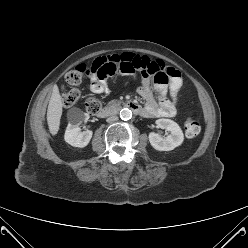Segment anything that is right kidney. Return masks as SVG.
I'll return each instance as SVG.
<instances>
[{
    "label": "right kidney",
    "instance_id": "obj_1",
    "mask_svg": "<svg viewBox=\"0 0 248 248\" xmlns=\"http://www.w3.org/2000/svg\"><path fill=\"white\" fill-rule=\"evenodd\" d=\"M69 123L65 131L64 140L74 147H85L90 142L93 132L86 130L80 132V124L88 121L89 115L78 109H71L68 114Z\"/></svg>",
    "mask_w": 248,
    "mask_h": 248
}]
</instances>
